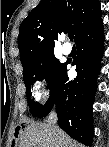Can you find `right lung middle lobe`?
<instances>
[{"mask_svg":"<svg viewBox=\"0 0 109 147\" xmlns=\"http://www.w3.org/2000/svg\"><path fill=\"white\" fill-rule=\"evenodd\" d=\"M64 64L58 62L54 53L43 56L39 61L23 68V79L26 85L28 106L33 117H37L43 109V105L34 102L30 96V88L33 82L45 79L50 90L57 80Z\"/></svg>","mask_w":109,"mask_h":147,"instance_id":"dd1d6c3e","label":"right lung middle lobe"}]
</instances>
